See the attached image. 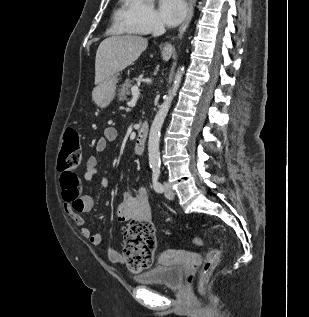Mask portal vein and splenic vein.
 I'll list each match as a JSON object with an SVG mask.
<instances>
[{"label": "portal vein and splenic vein", "mask_w": 309, "mask_h": 317, "mask_svg": "<svg viewBox=\"0 0 309 317\" xmlns=\"http://www.w3.org/2000/svg\"><path fill=\"white\" fill-rule=\"evenodd\" d=\"M132 92V99L130 101V105H135L139 96H140V92L137 86H133L131 89Z\"/></svg>", "instance_id": "portal-vein-and-splenic-vein-1"}]
</instances>
